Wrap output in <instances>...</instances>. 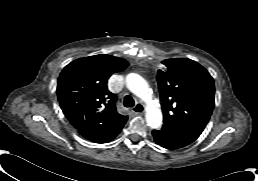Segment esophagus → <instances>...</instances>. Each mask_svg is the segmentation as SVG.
Wrapping results in <instances>:
<instances>
[{
  "instance_id": "34e87169",
  "label": "esophagus",
  "mask_w": 258,
  "mask_h": 181,
  "mask_svg": "<svg viewBox=\"0 0 258 181\" xmlns=\"http://www.w3.org/2000/svg\"><path fill=\"white\" fill-rule=\"evenodd\" d=\"M135 114H142L144 112V105L142 103H137L133 108Z\"/></svg>"
}]
</instances>
